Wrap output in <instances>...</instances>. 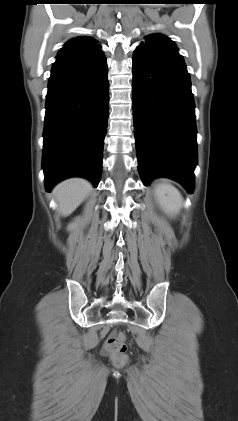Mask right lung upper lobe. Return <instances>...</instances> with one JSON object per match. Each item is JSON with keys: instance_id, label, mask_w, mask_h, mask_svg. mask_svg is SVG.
<instances>
[{"instance_id": "right-lung-upper-lobe-1", "label": "right lung upper lobe", "mask_w": 238, "mask_h": 421, "mask_svg": "<svg viewBox=\"0 0 238 421\" xmlns=\"http://www.w3.org/2000/svg\"><path fill=\"white\" fill-rule=\"evenodd\" d=\"M103 54L97 41L91 37H77L65 43L57 59Z\"/></svg>"}]
</instances>
